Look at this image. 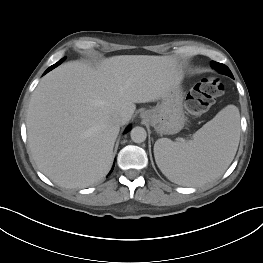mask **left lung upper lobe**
Instances as JSON below:
<instances>
[{
    "label": "left lung upper lobe",
    "instance_id": "obj_1",
    "mask_svg": "<svg viewBox=\"0 0 263 263\" xmlns=\"http://www.w3.org/2000/svg\"><path fill=\"white\" fill-rule=\"evenodd\" d=\"M211 65H212V67L217 69L220 73L228 75L230 77H233L231 71L229 70V68L226 65L221 64V63H217L214 61L211 62Z\"/></svg>",
    "mask_w": 263,
    "mask_h": 263
}]
</instances>
